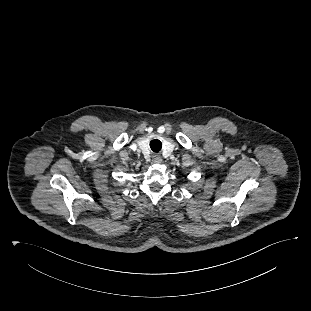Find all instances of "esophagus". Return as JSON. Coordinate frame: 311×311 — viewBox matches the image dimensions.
I'll list each match as a JSON object with an SVG mask.
<instances>
[{
	"mask_svg": "<svg viewBox=\"0 0 311 311\" xmlns=\"http://www.w3.org/2000/svg\"><path fill=\"white\" fill-rule=\"evenodd\" d=\"M152 161L155 164H160V163H162V157L158 154H155V155H153Z\"/></svg>",
	"mask_w": 311,
	"mask_h": 311,
	"instance_id": "1",
	"label": "esophagus"
}]
</instances>
